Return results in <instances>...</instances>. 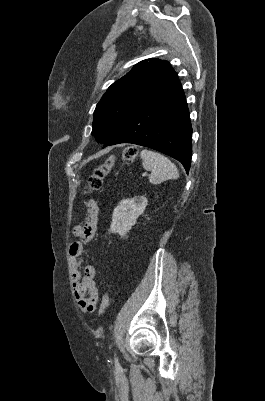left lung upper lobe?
<instances>
[{
  "mask_svg": "<svg viewBox=\"0 0 265 401\" xmlns=\"http://www.w3.org/2000/svg\"><path fill=\"white\" fill-rule=\"evenodd\" d=\"M178 80L167 61L146 59L114 82L96 106L92 135L104 144L146 104Z\"/></svg>",
  "mask_w": 265,
  "mask_h": 401,
  "instance_id": "1",
  "label": "left lung upper lobe"
}]
</instances>
